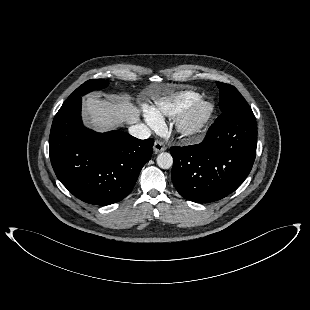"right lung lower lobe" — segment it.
I'll use <instances>...</instances> for the list:
<instances>
[{
	"label": "right lung lower lobe",
	"instance_id": "98d812e1",
	"mask_svg": "<svg viewBox=\"0 0 310 310\" xmlns=\"http://www.w3.org/2000/svg\"><path fill=\"white\" fill-rule=\"evenodd\" d=\"M81 102V97L64 102L54 117L49 137L51 164L74 196L90 204L110 205L132 191L152 156L154 140L84 127Z\"/></svg>",
	"mask_w": 310,
	"mask_h": 310
}]
</instances>
